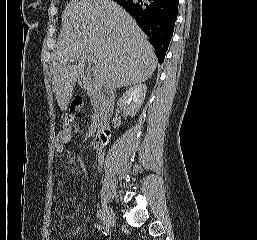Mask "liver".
<instances>
[{
  "mask_svg": "<svg viewBox=\"0 0 257 240\" xmlns=\"http://www.w3.org/2000/svg\"><path fill=\"white\" fill-rule=\"evenodd\" d=\"M52 64V89L62 111L83 77L85 56L97 61L105 87L148 80L157 67L154 49L136 21L112 0H72L62 14V31ZM78 61L77 65H70Z\"/></svg>",
  "mask_w": 257,
  "mask_h": 240,
  "instance_id": "obj_1",
  "label": "liver"
}]
</instances>
